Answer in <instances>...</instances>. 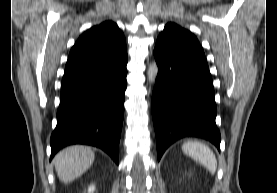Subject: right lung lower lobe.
Listing matches in <instances>:
<instances>
[{
  "label": "right lung lower lobe",
  "mask_w": 277,
  "mask_h": 193,
  "mask_svg": "<svg viewBox=\"0 0 277 193\" xmlns=\"http://www.w3.org/2000/svg\"><path fill=\"white\" fill-rule=\"evenodd\" d=\"M127 60L126 51L101 67L64 75L51 159L67 145L85 144L101 148L118 164Z\"/></svg>",
  "instance_id": "right-lung-lower-lobe-1"
}]
</instances>
